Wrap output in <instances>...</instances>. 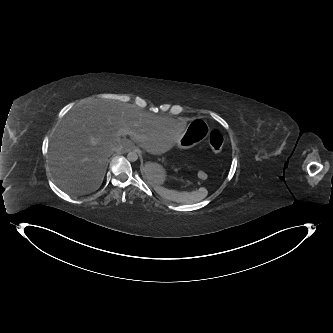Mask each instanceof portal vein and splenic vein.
<instances>
[{"instance_id":"obj_1","label":"portal vein and splenic vein","mask_w":333,"mask_h":333,"mask_svg":"<svg viewBox=\"0 0 333 333\" xmlns=\"http://www.w3.org/2000/svg\"><path fill=\"white\" fill-rule=\"evenodd\" d=\"M131 132L128 128L122 127L119 129V131L117 132V136H126L129 135Z\"/></svg>"}]
</instances>
